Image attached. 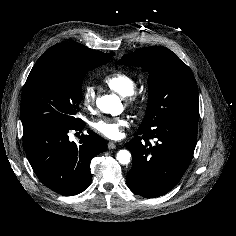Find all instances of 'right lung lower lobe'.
Wrapping results in <instances>:
<instances>
[{
  "instance_id": "98d812e1",
  "label": "right lung lower lobe",
  "mask_w": 236,
  "mask_h": 236,
  "mask_svg": "<svg viewBox=\"0 0 236 236\" xmlns=\"http://www.w3.org/2000/svg\"><path fill=\"white\" fill-rule=\"evenodd\" d=\"M85 123L64 124L41 120L23 125V146L39 180L54 192L71 196L84 191L91 182L90 162L106 151L98 134L88 131L79 144L70 142V130H82Z\"/></svg>"
}]
</instances>
